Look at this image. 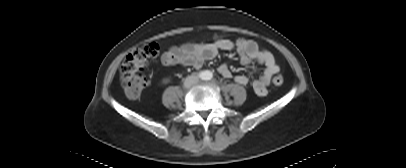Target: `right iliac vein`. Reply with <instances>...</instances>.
Here are the masks:
<instances>
[{
	"label": "right iliac vein",
	"mask_w": 406,
	"mask_h": 168,
	"mask_svg": "<svg viewBox=\"0 0 406 168\" xmlns=\"http://www.w3.org/2000/svg\"><path fill=\"white\" fill-rule=\"evenodd\" d=\"M190 84V82L188 81L187 83H186V85H189Z\"/></svg>",
	"instance_id": "1"
}]
</instances>
